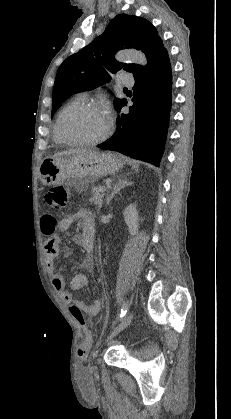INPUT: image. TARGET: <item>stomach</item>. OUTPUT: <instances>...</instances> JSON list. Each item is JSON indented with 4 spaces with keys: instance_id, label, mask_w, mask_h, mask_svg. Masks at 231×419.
Returning a JSON list of instances; mask_svg holds the SVG:
<instances>
[{
    "instance_id": "obj_1",
    "label": "stomach",
    "mask_w": 231,
    "mask_h": 419,
    "mask_svg": "<svg viewBox=\"0 0 231 419\" xmlns=\"http://www.w3.org/2000/svg\"><path fill=\"white\" fill-rule=\"evenodd\" d=\"M122 166L123 159L118 154L91 151L44 159L39 166V178L47 186L70 180L76 190L81 192L96 179L115 174Z\"/></svg>"
}]
</instances>
